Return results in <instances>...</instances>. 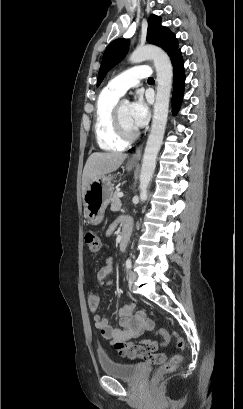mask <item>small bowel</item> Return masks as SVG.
<instances>
[{
    "label": "small bowel",
    "mask_w": 243,
    "mask_h": 409,
    "mask_svg": "<svg viewBox=\"0 0 243 409\" xmlns=\"http://www.w3.org/2000/svg\"><path fill=\"white\" fill-rule=\"evenodd\" d=\"M131 228V221L124 220V229ZM114 229L111 227L108 231L110 234ZM114 257L111 254H106L104 263L98 271L97 278L101 286H110L112 282L109 277L114 272ZM100 305L98 302L95 308L90 307L93 312V322L101 335L110 341L112 347L121 356L135 359L141 358L147 361H162L165 357L158 351V344L151 339L142 338L144 332L150 331L153 328V323L141 311L133 313L136 304H128L119 308L115 312L118 323L122 328L113 327L110 325L109 317L105 314L96 312Z\"/></svg>",
    "instance_id": "1"
}]
</instances>
